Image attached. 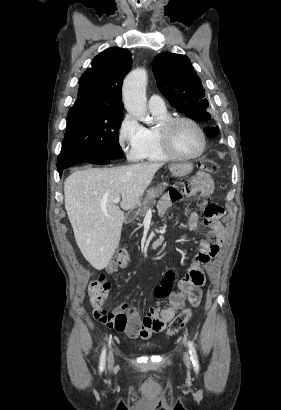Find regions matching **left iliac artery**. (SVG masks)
I'll return each instance as SVG.
<instances>
[{"mask_svg":"<svg viewBox=\"0 0 281 410\" xmlns=\"http://www.w3.org/2000/svg\"><path fill=\"white\" fill-rule=\"evenodd\" d=\"M188 348H189V354H190V359L192 361V364L195 367V369H198L199 368L198 357H197L196 349L193 345V342L188 341Z\"/></svg>","mask_w":281,"mask_h":410,"instance_id":"1","label":"left iliac artery"}]
</instances>
